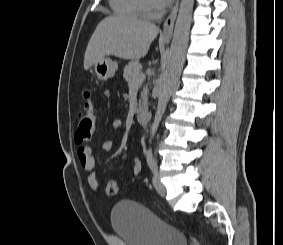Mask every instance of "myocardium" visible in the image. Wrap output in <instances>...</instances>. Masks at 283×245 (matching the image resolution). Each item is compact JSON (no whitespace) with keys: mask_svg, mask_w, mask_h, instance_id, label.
Returning <instances> with one entry per match:
<instances>
[{"mask_svg":"<svg viewBox=\"0 0 283 245\" xmlns=\"http://www.w3.org/2000/svg\"><path fill=\"white\" fill-rule=\"evenodd\" d=\"M139 9L142 15L148 18L157 17L160 14V10L158 8H151L146 0H138Z\"/></svg>","mask_w":283,"mask_h":245,"instance_id":"1","label":"myocardium"}]
</instances>
